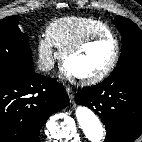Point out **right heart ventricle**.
<instances>
[{"label": "right heart ventricle", "instance_id": "right-heart-ventricle-1", "mask_svg": "<svg viewBox=\"0 0 142 142\" xmlns=\"http://www.w3.org/2000/svg\"><path fill=\"white\" fill-rule=\"evenodd\" d=\"M94 34H112L102 21L88 17H66L51 23L46 37L61 53L81 39Z\"/></svg>", "mask_w": 142, "mask_h": 142}]
</instances>
